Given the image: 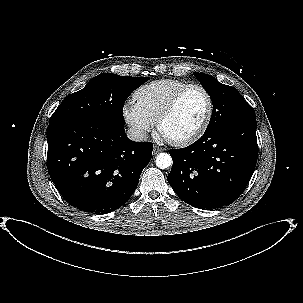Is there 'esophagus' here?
Wrapping results in <instances>:
<instances>
[{"mask_svg":"<svg viewBox=\"0 0 303 303\" xmlns=\"http://www.w3.org/2000/svg\"><path fill=\"white\" fill-rule=\"evenodd\" d=\"M164 150H165L164 148L155 145L154 148H153V154H157V153H159L161 151H164Z\"/></svg>","mask_w":303,"mask_h":303,"instance_id":"esophagus-1","label":"esophagus"}]
</instances>
